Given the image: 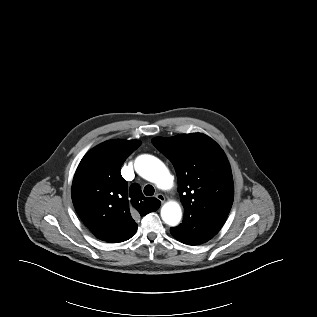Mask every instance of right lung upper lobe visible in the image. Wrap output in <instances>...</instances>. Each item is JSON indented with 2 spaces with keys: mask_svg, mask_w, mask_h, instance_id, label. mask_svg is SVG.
<instances>
[{
  "mask_svg": "<svg viewBox=\"0 0 317 317\" xmlns=\"http://www.w3.org/2000/svg\"><path fill=\"white\" fill-rule=\"evenodd\" d=\"M137 140H110L90 150L81 160L72 183V201L88 229L110 243L130 239L135 219L156 211L160 201L145 197L134 183L128 188L121 165L135 151Z\"/></svg>",
  "mask_w": 317,
  "mask_h": 317,
  "instance_id": "obj_1",
  "label": "right lung upper lobe"
}]
</instances>
